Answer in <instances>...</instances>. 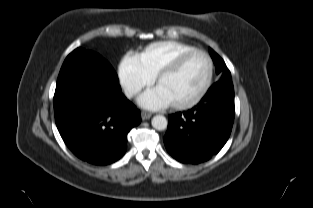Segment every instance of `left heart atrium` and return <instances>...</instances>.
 <instances>
[{
    "label": "left heart atrium",
    "instance_id": "1",
    "mask_svg": "<svg viewBox=\"0 0 313 208\" xmlns=\"http://www.w3.org/2000/svg\"><path fill=\"white\" fill-rule=\"evenodd\" d=\"M139 103L149 109H160L170 105L169 100L157 88L142 94Z\"/></svg>",
    "mask_w": 313,
    "mask_h": 208
}]
</instances>
